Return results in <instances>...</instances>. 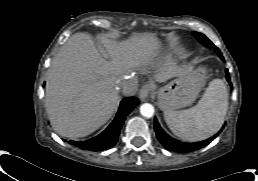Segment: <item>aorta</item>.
<instances>
[{
    "mask_svg": "<svg viewBox=\"0 0 258 181\" xmlns=\"http://www.w3.org/2000/svg\"><path fill=\"white\" fill-rule=\"evenodd\" d=\"M140 113L146 118H151L154 114V107L149 103H144L140 106Z\"/></svg>",
    "mask_w": 258,
    "mask_h": 181,
    "instance_id": "762f6f07",
    "label": "aorta"
}]
</instances>
